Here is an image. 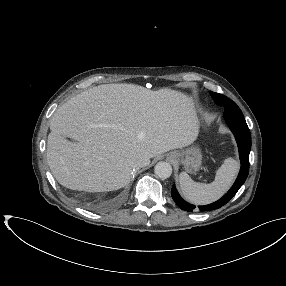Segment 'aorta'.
<instances>
[{
	"mask_svg": "<svg viewBox=\"0 0 286 286\" xmlns=\"http://www.w3.org/2000/svg\"><path fill=\"white\" fill-rule=\"evenodd\" d=\"M154 172L157 177L167 179L172 174V166L168 162H158L154 167Z\"/></svg>",
	"mask_w": 286,
	"mask_h": 286,
	"instance_id": "aorta-1",
	"label": "aorta"
}]
</instances>
